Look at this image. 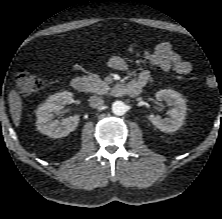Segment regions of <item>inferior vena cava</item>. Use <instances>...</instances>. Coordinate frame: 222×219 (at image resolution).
Returning a JSON list of instances; mask_svg holds the SVG:
<instances>
[{"label": "inferior vena cava", "mask_w": 222, "mask_h": 219, "mask_svg": "<svg viewBox=\"0 0 222 219\" xmlns=\"http://www.w3.org/2000/svg\"><path fill=\"white\" fill-rule=\"evenodd\" d=\"M88 101L89 105L93 108L101 107L104 104V100L99 96H91Z\"/></svg>", "instance_id": "1"}]
</instances>
